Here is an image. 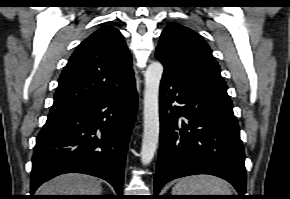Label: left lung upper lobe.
<instances>
[{
	"instance_id": "5c2ea615",
	"label": "left lung upper lobe",
	"mask_w": 290,
	"mask_h": 199,
	"mask_svg": "<svg viewBox=\"0 0 290 199\" xmlns=\"http://www.w3.org/2000/svg\"><path fill=\"white\" fill-rule=\"evenodd\" d=\"M155 57L162 62L164 72L228 95L227 85L210 47L190 28L169 24L160 36Z\"/></svg>"
}]
</instances>
